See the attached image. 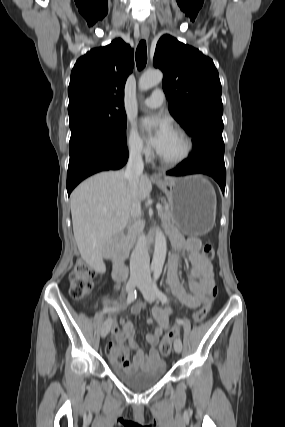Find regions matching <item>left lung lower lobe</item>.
<instances>
[{
  "label": "left lung lower lobe",
  "instance_id": "0a47b994",
  "mask_svg": "<svg viewBox=\"0 0 285 427\" xmlns=\"http://www.w3.org/2000/svg\"><path fill=\"white\" fill-rule=\"evenodd\" d=\"M202 173L212 176L224 193L226 169L223 139H203L195 145L191 157L183 160L177 168L167 171L170 176Z\"/></svg>",
  "mask_w": 285,
  "mask_h": 427
}]
</instances>
